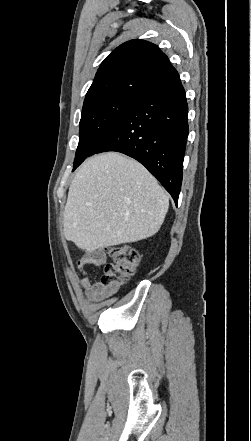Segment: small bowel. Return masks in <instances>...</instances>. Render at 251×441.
Listing matches in <instances>:
<instances>
[{
  "mask_svg": "<svg viewBox=\"0 0 251 441\" xmlns=\"http://www.w3.org/2000/svg\"><path fill=\"white\" fill-rule=\"evenodd\" d=\"M106 257L100 251H91L81 254L75 261V266L81 276L78 280L80 287L83 289L85 296L89 300L99 301L113 295L118 287L105 286L101 282L91 283L86 267L89 264L101 266L105 263Z\"/></svg>",
  "mask_w": 251,
  "mask_h": 441,
  "instance_id": "obj_1",
  "label": "small bowel"
}]
</instances>
